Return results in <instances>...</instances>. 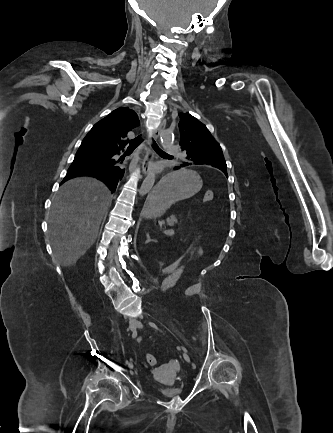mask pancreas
Wrapping results in <instances>:
<instances>
[{"label":"pancreas","mask_w":333,"mask_h":433,"mask_svg":"<svg viewBox=\"0 0 333 433\" xmlns=\"http://www.w3.org/2000/svg\"><path fill=\"white\" fill-rule=\"evenodd\" d=\"M166 222H167L168 225L172 226V225H174L175 223H177L178 220H177V218H176L175 215H172V216H170V217L167 218ZM163 223H164V222H163Z\"/></svg>","instance_id":"pancreas-1"}]
</instances>
